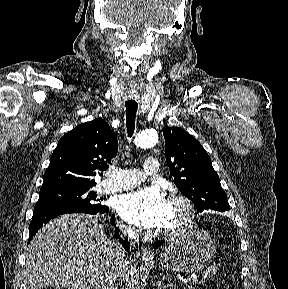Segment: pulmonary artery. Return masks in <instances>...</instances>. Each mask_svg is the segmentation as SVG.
<instances>
[{
	"instance_id": "obj_1",
	"label": "pulmonary artery",
	"mask_w": 288,
	"mask_h": 289,
	"mask_svg": "<svg viewBox=\"0 0 288 289\" xmlns=\"http://www.w3.org/2000/svg\"><path fill=\"white\" fill-rule=\"evenodd\" d=\"M159 162L156 157L150 156L144 161L142 169H114L110 178L101 182L98 190L101 193H114L139 185L147 175H156Z\"/></svg>"
}]
</instances>
